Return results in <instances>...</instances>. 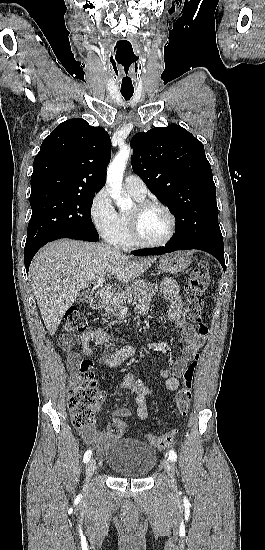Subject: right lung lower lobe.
Segmentation results:
<instances>
[{"mask_svg": "<svg viewBox=\"0 0 265 550\" xmlns=\"http://www.w3.org/2000/svg\"><path fill=\"white\" fill-rule=\"evenodd\" d=\"M60 238H71V239H78V240L91 241V242H95V241L99 240V236H94V235H87V234L76 233V232L61 233V234L53 237L49 241L41 243L40 245L36 246L35 248L24 252V262H25L26 272H28L30 263H31L34 255L36 254V252L42 246H44L46 243L54 241L56 239H60Z\"/></svg>", "mask_w": 265, "mask_h": 550, "instance_id": "98d812e1", "label": "right lung lower lobe"}]
</instances>
